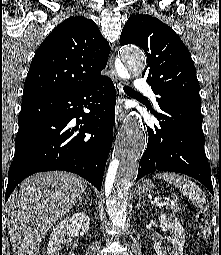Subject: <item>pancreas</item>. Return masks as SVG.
<instances>
[{"mask_svg": "<svg viewBox=\"0 0 221 255\" xmlns=\"http://www.w3.org/2000/svg\"><path fill=\"white\" fill-rule=\"evenodd\" d=\"M164 206H165L166 209H170L174 212H180V209H179L177 204H172V203L168 202Z\"/></svg>", "mask_w": 221, "mask_h": 255, "instance_id": "cf45deb5", "label": "pancreas"}]
</instances>
